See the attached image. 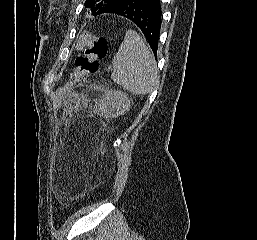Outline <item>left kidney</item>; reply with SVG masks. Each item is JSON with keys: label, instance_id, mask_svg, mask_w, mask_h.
<instances>
[{"label": "left kidney", "instance_id": "obj_1", "mask_svg": "<svg viewBox=\"0 0 257 240\" xmlns=\"http://www.w3.org/2000/svg\"><path fill=\"white\" fill-rule=\"evenodd\" d=\"M114 99L112 100H118V102L115 105V108L118 110H124L127 109L129 106V102L127 100L126 95L121 94V93H115L114 97H112Z\"/></svg>", "mask_w": 257, "mask_h": 240}]
</instances>
